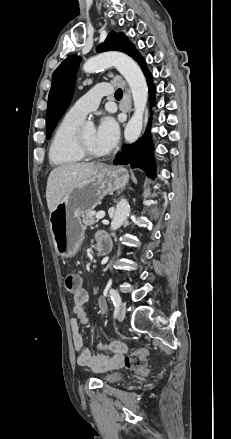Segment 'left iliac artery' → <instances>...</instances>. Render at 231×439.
<instances>
[{
	"label": "left iliac artery",
	"instance_id": "obj_1",
	"mask_svg": "<svg viewBox=\"0 0 231 439\" xmlns=\"http://www.w3.org/2000/svg\"><path fill=\"white\" fill-rule=\"evenodd\" d=\"M109 294H110V297L113 301L114 306L118 307L119 304L121 303V298H120L119 293L114 289H110Z\"/></svg>",
	"mask_w": 231,
	"mask_h": 439
}]
</instances>
